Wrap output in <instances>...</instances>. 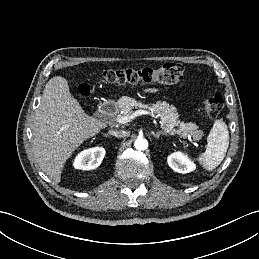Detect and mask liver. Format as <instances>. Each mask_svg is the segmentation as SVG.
Here are the masks:
<instances>
[{"mask_svg":"<svg viewBox=\"0 0 259 259\" xmlns=\"http://www.w3.org/2000/svg\"><path fill=\"white\" fill-rule=\"evenodd\" d=\"M105 127L106 123L84 112L71 95L65 78H51L32 125L33 154L41 170L56 183L60 182L66 160Z\"/></svg>","mask_w":259,"mask_h":259,"instance_id":"obj_1","label":"liver"}]
</instances>
